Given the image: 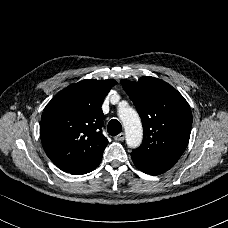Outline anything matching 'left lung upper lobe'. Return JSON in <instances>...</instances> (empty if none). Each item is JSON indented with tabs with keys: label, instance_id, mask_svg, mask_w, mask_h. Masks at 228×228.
Masks as SVG:
<instances>
[{
	"label": "left lung upper lobe",
	"instance_id": "5c2ea615",
	"mask_svg": "<svg viewBox=\"0 0 228 228\" xmlns=\"http://www.w3.org/2000/svg\"><path fill=\"white\" fill-rule=\"evenodd\" d=\"M142 120L144 138L132 150L133 162L167 171L185 151L192 112L185 98L168 83L150 76L121 80Z\"/></svg>",
	"mask_w": 228,
	"mask_h": 228
}]
</instances>
